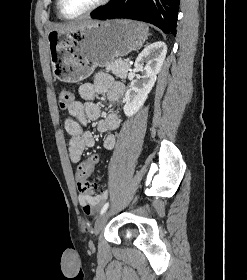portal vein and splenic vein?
<instances>
[{
	"mask_svg": "<svg viewBox=\"0 0 247 280\" xmlns=\"http://www.w3.org/2000/svg\"><path fill=\"white\" fill-rule=\"evenodd\" d=\"M125 61H126V62H128V61H129V59L127 58Z\"/></svg>",
	"mask_w": 247,
	"mask_h": 280,
	"instance_id": "1",
	"label": "portal vein and splenic vein"
}]
</instances>
